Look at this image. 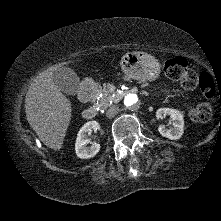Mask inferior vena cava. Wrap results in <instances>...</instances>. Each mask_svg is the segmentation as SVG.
Returning a JSON list of instances; mask_svg holds the SVG:
<instances>
[{
    "label": "inferior vena cava",
    "mask_w": 221,
    "mask_h": 221,
    "mask_svg": "<svg viewBox=\"0 0 221 221\" xmlns=\"http://www.w3.org/2000/svg\"><path fill=\"white\" fill-rule=\"evenodd\" d=\"M118 112H119V107L116 106V105H113V106H111V107L107 110L106 116H107L108 118H112V117H114L115 115H117Z\"/></svg>",
    "instance_id": "1"
}]
</instances>
